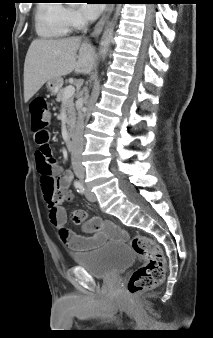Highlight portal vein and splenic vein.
Segmentation results:
<instances>
[{
    "instance_id": "18ae733b",
    "label": "portal vein and splenic vein",
    "mask_w": 213,
    "mask_h": 338,
    "mask_svg": "<svg viewBox=\"0 0 213 338\" xmlns=\"http://www.w3.org/2000/svg\"><path fill=\"white\" fill-rule=\"evenodd\" d=\"M74 93H75V87L72 85H69L64 90V98L67 99L73 96Z\"/></svg>"
}]
</instances>
